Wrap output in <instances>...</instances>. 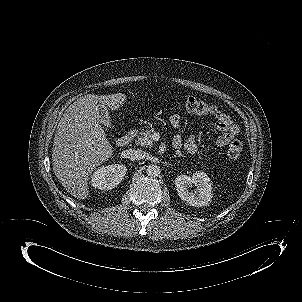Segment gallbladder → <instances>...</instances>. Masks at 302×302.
Masks as SVG:
<instances>
[{
    "label": "gallbladder",
    "mask_w": 302,
    "mask_h": 302,
    "mask_svg": "<svg viewBox=\"0 0 302 302\" xmlns=\"http://www.w3.org/2000/svg\"><path fill=\"white\" fill-rule=\"evenodd\" d=\"M99 113H100V121L102 124H104L107 128L111 126V121L109 117V112L106 107H100L99 108Z\"/></svg>",
    "instance_id": "bac80fb5"
}]
</instances>
